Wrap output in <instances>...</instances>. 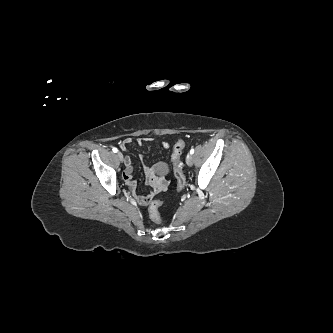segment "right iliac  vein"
<instances>
[{
  "instance_id": "1",
  "label": "right iliac vein",
  "mask_w": 333,
  "mask_h": 333,
  "mask_svg": "<svg viewBox=\"0 0 333 333\" xmlns=\"http://www.w3.org/2000/svg\"><path fill=\"white\" fill-rule=\"evenodd\" d=\"M117 157L119 158L120 161H123V154L121 152L117 153Z\"/></svg>"
}]
</instances>
